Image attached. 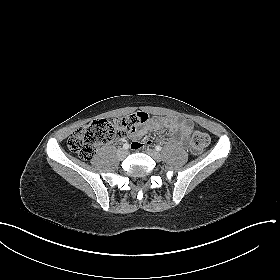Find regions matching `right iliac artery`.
I'll return each mask as SVG.
<instances>
[{
  "instance_id": "1",
  "label": "right iliac artery",
  "mask_w": 280,
  "mask_h": 280,
  "mask_svg": "<svg viewBox=\"0 0 280 280\" xmlns=\"http://www.w3.org/2000/svg\"><path fill=\"white\" fill-rule=\"evenodd\" d=\"M123 148L124 149H128L129 148V144L128 143L123 144Z\"/></svg>"
}]
</instances>
